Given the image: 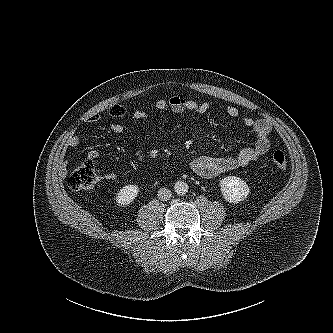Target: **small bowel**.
<instances>
[{"mask_svg": "<svg viewBox=\"0 0 333 333\" xmlns=\"http://www.w3.org/2000/svg\"><path fill=\"white\" fill-rule=\"evenodd\" d=\"M156 109L159 111H171L177 114H196L203 115L210 111L211 106L207 102H197L186 99L179 95L171 96L167 99H159L155 103ZM113 117H123L127 114V108L124 105H113L108 110ZM225 112L231 118H238L240 111L233 105H227ZM134 120H147L149 114L143 110H136L131 114ZM100 121V115L94 114L88 118V122L97 123ZM243 124L254 134L255 142L252 146L243 148L237 155L209 157L200 156L190 162V169L196 175L202 178H213L231 170L239 169L248 166L250 163L257 161L264 156L270 149V133L271 124L266 119H256L253 117L243 118ZM111 132L120 134L125 131V126L121 123L114 122L109 126ZM79 138L76 135H71L66 145L68 147H77ZM92 157H97L96 151L91 152ZM116 174L113 172L107 173L105 179L114 180Z\"/></svg>", "mask_w": 333, "mask_h": 333, "instance_id": "c3829d8e", "label": "small bowel"}]
</instances>
